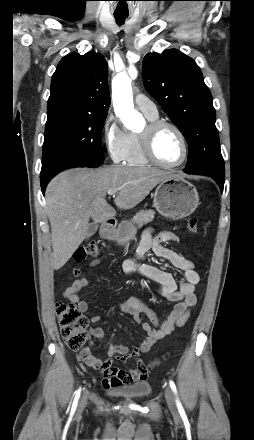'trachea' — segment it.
I'll return each instance as SVG.
<instances>
[{"label":"trachea","mask_w":254,"mask_h":440,"mask_svg":"<svg viewBox=\"0 0 254 440\" xmlns=\"http://www.w3.org/2000/svg\"><path fill=\"white\" fill-rule=\"evenodd\" d=\"M126 18L127 16L115 15V19L118 25H122Z\"/></svg>","instance_id":"trachea-1"}]
</instances>
